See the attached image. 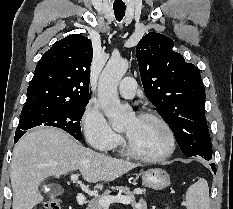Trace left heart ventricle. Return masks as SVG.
Masks as SVG:
<instances>
[{"label": "left heart ventricle", "mask_w": 233, "mask_h": 209, "mask_svg": "<svg viewBox=\"0 0 233 209\" xmlns=\"http://www.w3.org/2000/svg\"><path fill=\"white\" fill-rule=\"evenodd\" d=\"M123 132L133 148L146 156L162 154L168 145L164 128L152 118L132 116L124 126Z\"/></svg>", "instance_id": "obj_1"}]
</instances>
